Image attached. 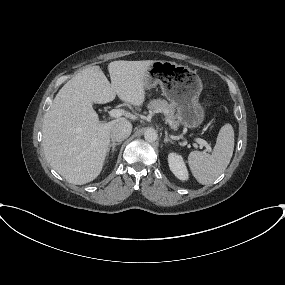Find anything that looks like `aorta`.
<instances>
[{
    "label": "aorta",
    "mask_w": 285,
    "mask_h": 285,
    "mask_svg": "<svg viewBox=\"0 0 285 285\" xmlns=\"http://www.w3.org/2000/svg\"><path fill=\"white\" fill-rule=\"evenodd\" d=\"M157 137H158V134L157 132L154 130V129H147L145 132H144V138L146 141L148 142H154L157 140Z\"/></svg>",
    "instance_id": "obj_1"
}]
</instances>
